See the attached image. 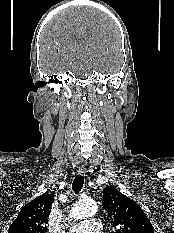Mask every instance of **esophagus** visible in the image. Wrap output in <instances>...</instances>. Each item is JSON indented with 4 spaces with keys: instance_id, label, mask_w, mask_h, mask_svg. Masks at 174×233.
<instances>
[{
    "instance_id": "obj_1",
    "label": "esophagus",
    "mask_w": 174,
    "mask_h": 233,
    "mask_svg": "<svg viewBox=\"0 0 174 233\" xmlns=\"http://www.w3.org/2000/svg\"><path fill=\"white\" fill-rule=\"evenodd\" d=\"M78 175L79 176H87V170L85 168H79L78 169Z\"/></svg>"
}]
</instances>
